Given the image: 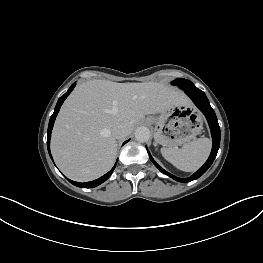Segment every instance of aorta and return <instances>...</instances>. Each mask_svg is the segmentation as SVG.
<instances>
[{
	"instance_id": "obj_1",
	"label": "aorta",
	"mask_w": 263,
	"mask_h": 263,
	"mask_svg": "<svg viewBox=\"0 0 263 263\" xmlns=\"http://www.w3.org/2000/svg\"><path fill=\"white\" fill-rule=\"evenodd\" d=\"M151 133L147 127L141 126L135 130V139L138 142H147L150 139Z\"/></svg>"
}]
</instances>
